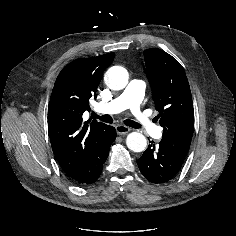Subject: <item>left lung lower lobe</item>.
Returning a JSON list of instances; mask_svg holds the SVG:
<instances>
[{
	"instance_id": "1",
	"label": "left lung lower lobe",
	"mask_w": 236,
	"mask_h": 236,
	"mask_svg": "<svg viewBox=\"0 0 236 236\" xmlns=\"http://www.w3.org/2000/svg\"><path fill=\"white\" fill-rule=\"evenodd\" d=\"M185 157L178 155L165 145L151 143L141 158L138 166L141 173L152 183H165L180 171Z\"/></svg>"
}]
</instances>
